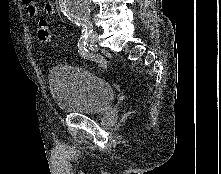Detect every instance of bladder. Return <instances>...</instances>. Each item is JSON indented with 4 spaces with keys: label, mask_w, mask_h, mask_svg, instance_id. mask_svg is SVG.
<instances>
[{
    "label": "bladder",
    "mask_w": 221,
    "mask_h": 174,
    "mask_svg": "<svg viewBox=\"0 0 221 174\" xmlns=\"http://www.w3.org/2000/svg\"><path fill=\"white\" fill-rule=\"evenodd\" d=\"M48 84L54 104L64 113L99 114L106 111L115 98L109 82L76 66L53 67L48 74Z\"/></svg>",
    "instance_id": "31cf9c89"
}]
</instances>
